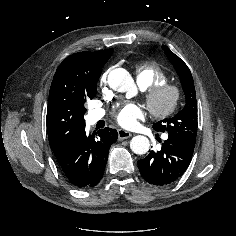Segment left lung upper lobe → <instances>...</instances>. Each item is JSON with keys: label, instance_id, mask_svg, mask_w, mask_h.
Wrapping results in <instances>:
<instances>
[{"label": "left lung upper lobe", "instance_id": "left-lung-upper-lobe-1", "mask_svg": "<svg viewBox=\"0 0 236 236\" xmlns=\"http://www.w3.org/2000/svg\"><path fill=\"white\" fill-rule=\"evenodd\" d=\"M170 62L174 65L186 98L184 108L172 118L161 120L153 125L158 132H166L187 146L195 147L197 133V101L193 78L187 65L165 45L162 46Z\"/></svg>", "mask_w": 236, "mask_h": 236}]
</instances>
